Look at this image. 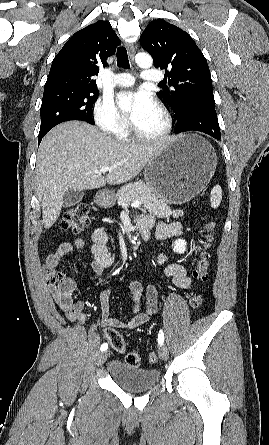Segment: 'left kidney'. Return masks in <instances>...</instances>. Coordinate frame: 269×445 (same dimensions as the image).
Segmentation results:
<instances>
[{"label":"left kidney","instance_id":"1","mask_svg":"<svg viewBox=\"0 0 269 445\" xmlns=\"http://www.w3.org/2000/svg\"><path fill=\"white\" fill-rule=\"evenodd\" d=\"M186 245H187V243H186L185 240H183V239H178V240H176V241L172 244V246H173V251L176 252V253L182 254V253H184L185 250H186Z\"/></svg>","mask_w":269,"mask_h":445}]
</instances>
